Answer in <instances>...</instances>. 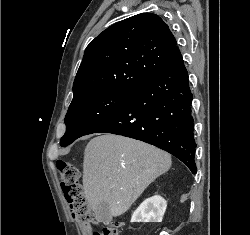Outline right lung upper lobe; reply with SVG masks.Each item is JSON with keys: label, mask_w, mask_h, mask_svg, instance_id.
Returning a JSON list of instances; mask_svg holds the SVG:
<instances>
[{"label": "right lung upper lobe", "mask_w": 250, "mask_h": 235, "mask_svg": "<svg viewBox=\"0 0 250 235\" xmlns=\"http://www.w3.org/2000/svg\"><path fill=\"white\" fill-rule=\"evenodd\" d=\"M177 42L156 14L115 23L87 46L73 84V100L94 91L134 92L171 62Z\"/></svg>", "instance_id": "right-lung-upper-lobe-1"}]
</instances>
